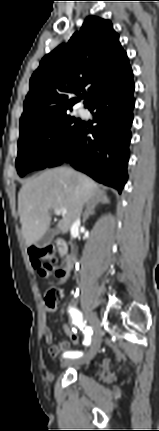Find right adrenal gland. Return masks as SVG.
Wrapping results in <instances>:
<instances>
[{
    "label": "right adrenal gland",
    "mask_w": 159,
    "mask_h": 431,
    "mask_svg": "<svg viewBox=\"0 0 159 431\" xmlns=\"http://www.w3.org/2000/svg\"><path fill=\"white\" fill-rule=\"evenodd\" d=\"M109 204L110 200L104 193H98L94 198L88 203L86 211L84 213L83 222H85L90 215L94 214V209L98 204Z\"/></svg>",
    "instance_id": "2a0ac1e0"
}]
</instances>
